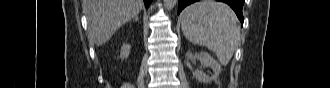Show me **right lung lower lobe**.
Returning a JSON list of instances; mask_svg holds the SVG:
<instances>
[{"label": "right lung lower lobe", "mask_w": 330, "mask_h": 88, "mask_svg": "<svg viewBox=\"0 0 330 88\" xmlns=\"http://www.w3.org/2000/svg\"><path fill=\"white\" fill-rule=\"evenodd\" d=\"M152 0H144L145 6L148 8Z\"/></svg>", "instance_id": "right-lung-lower-lobe-1"}]
</instances>
